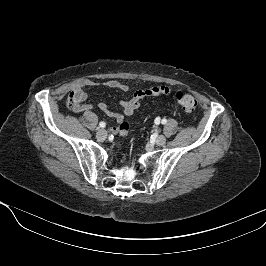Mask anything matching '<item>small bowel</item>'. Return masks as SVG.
Returning a JSON list of instances; mask_svg holds the SVG:
<instances>
[{"label": "small bowel", "instance_id": "obj_1", "mask_svg": "<svg viewBox=\"0 0 266 266\" xmlns=\"http://www.w3.org/2000/svg\"><path fill=\"white\" fill-rule=\"evenodd\" d=\"M98 85L96 82H94L91 79H83L79 82H77L72 87V94L75 96V104L72 108V110L75 113H84L88 112L92 109V105L87 103L88 95L85 91L87 87H93ZM104 86L112 89H117L121 91H128L129 86L125 83H122L117 80H109L105 83H103ZM171 91L167 86H155L150 87L147 89L139 90L137 91L130 99L124 100L120 103L122 107V113H116L110 110L108 105L106 103H99L98 107L99 109L107 114L110 117H113L117 120V122L122 123L125 116H132L134 112L138 109L140 105V99L143 97H149V96H168L170 95ZM113 133L119 132L118 127H113L111 129Z\"/></svg>", "mask_w": 266, "mask_h": 266}]
</instances>
